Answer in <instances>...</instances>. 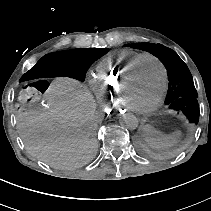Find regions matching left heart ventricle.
Wrapping results in <instances>:
<instances>
[{"mask_svg":"<svg viewBox=\"0 0 211 211\" xmlns=\"http://www.w3.org/2000/svg\"><path fill=\"white\" fill-rule=\"evenodd\" d=\"M162 88V72L153 60L144 61L132 78L127 94L128 101L138 107H148L159 97Z\"/></svg>","mask_w":211,"mask_h":211,"instance_id":"obj_1","label":"left heart ventricle"}]
</instances>
